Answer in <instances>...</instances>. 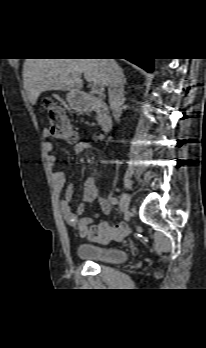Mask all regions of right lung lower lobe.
<instances>
[{"mask_svg": "<svg viewBox=\"0 0 206 348\" xmlns=\"http://www.w3.org/2000/svg\"><path fill=\"white\" fill-rule=\"evenodd\" d=\"M134 64L140 66L148 72H152L153 70V59L152 58H138V59H128Z\"/></svg>", "mask_w": 206, "mask_h": 348, "instance_id": "right-lung-lower-lobe-1", "label": "right lung lower lobe"}]
</instances>
